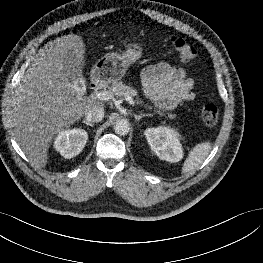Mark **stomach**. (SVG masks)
<instances>
[{"mask_svg":"<svg viewBox=\"0 0 263 263\" xmlns=\"http://www.w3.org/2000/svg\"><path fill=\"white\" fill-rule=\"evenodd\" d=\"M143 48L138 43H130L122 54L107 53L91 70V78L97 82L114 83L122 79L127 69L141 59Z\"/></svg>","mask_w":263,"mask_h":263,"instance_id":"stomach-1","label":"stomach"}]
</instances>
